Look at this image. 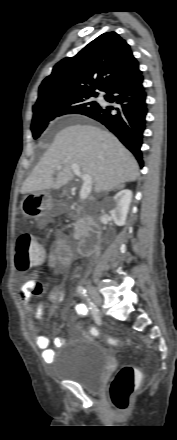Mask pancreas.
I'll return each mask as SVG.
<instances>
[{
	"label": "pancreas",
	"instance_id": "cf45deb5",
	"mask_svg": "<svg viewBox=\"0 0 177 440\" xmlns=\"http://www.w3.org/2000/svg\"><path fill=\"white\" fill-rule=\"evenodd\" d=\"M75 222L73 223L74 226V239H79L81 236H83L88 231V220L85 217H82L80 215V211H77V215H71Z\"/></svg>",
	"mask_w": 177,
	"mask_h": 440
}]
</instances>
